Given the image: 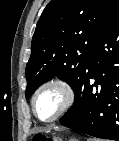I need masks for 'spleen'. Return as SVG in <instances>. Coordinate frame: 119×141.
<instances>
[{
	"label": "spleen",
	"mask_w": 119,
	"mask_h": 141,
	"mask_svg": "<svg viewBox=\"0 0 119 141\" xmlns=\"http://www.w3.org/2000/svg\"><path fill=\"white\" fill-rule=\"evenodd\" d=\"M88 141H94V140H92V139H89Z\"/></svg>",
	"instance_id": "3e777b00"
}]
</instances>
